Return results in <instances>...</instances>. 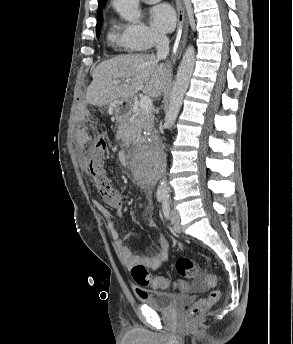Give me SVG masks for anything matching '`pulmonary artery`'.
I'll return each mask as SVG.
<instances>
[{
  "label": "pulmonary artery",
  "instance_id": "obj_1",
  "mask_svg": "<svg viewBox=\"0 0 293 344\" xmlns=\"http://www.w3.org/2000/svg\"><path fill=\"white\" fill-rule=\"evenodd\" d=\"M143 1L148 4H153V3L159 2L160 0H143Z\"/></svg>",
  "mask_w": 293,
  "mask_h": 344
}]
</instances>
